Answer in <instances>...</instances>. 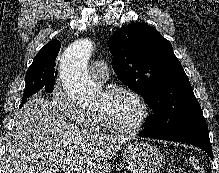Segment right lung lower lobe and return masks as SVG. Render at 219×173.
I'll return each instance as SVG.
<instances>
[{"mask_svg": "<svg viewBox=\"0 0 219 173\" xmlns=\"http://www.w3.org/2000/svg\"><path fill=\"white\" fill-rule=\"evenodd\" d=\"M26 101H27V99H24V100L22 101V104L20 105V107H22V105H23Z\"/></svg>", "mask_w": 219, "mask_h": 173, "instance_id": "1", "label": "right lung lower lobe"}]
</instances>
